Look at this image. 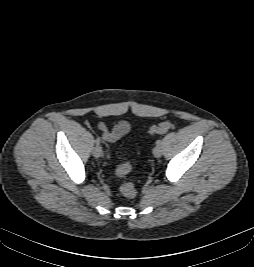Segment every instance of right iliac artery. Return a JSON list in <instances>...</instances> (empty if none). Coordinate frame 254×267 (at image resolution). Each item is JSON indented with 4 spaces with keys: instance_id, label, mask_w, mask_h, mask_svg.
Masks as SVG:
<instances>
[{
    "instance_id": "right-iliac-artery-1",
    "label": "right iliac artery",
    "mask_w": 254,
    "mask_h": 267,
    "mask_svg": "<svg viewBox=\"0 0 254 267\" xmlns=\"http://www.w3.org/2000/svg\"><path fill=\"white\" fill-rule=\"evenodd\" d=\"M95 143H96L97 145H99V144H100V139H99V138H96Z\"/></svg>"
}]
</instances>
